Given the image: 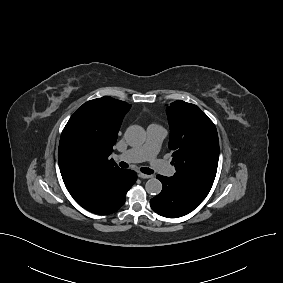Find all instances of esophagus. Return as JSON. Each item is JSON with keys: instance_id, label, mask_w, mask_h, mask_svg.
Here are the masks:
<instances>
[{"instance_id": "1", "label": "esophagus", "mask_w": 283, "mask_h": 283, "mask_svg": "<svg viewBox=\"0 0 283 283\" xmlns=\"http://www.w3.org/2000/svg\"><path fill=\"white\" fill-rule=\"evenodd\" d=\"M138 176L142 179H148V178L152 177V175H147V174H143V173H139Z\"/></svg>"}]
</instances>
